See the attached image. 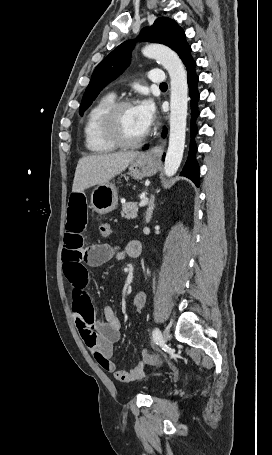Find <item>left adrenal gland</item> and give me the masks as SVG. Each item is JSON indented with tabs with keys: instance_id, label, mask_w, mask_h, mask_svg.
<instances>
[{
	"instance_id": "1",
	"label": "left adrenal gland",
	"mask_w": 272,
	"mask_h": 455,
	"mask_svg": "<svg viewBox=\"0 0 272 455\" xmlns=\"http://www.w3.org/2000/svg\"><path fill=\"white\" fill-rule=\"evenodd\" d=\"M154 208H155L154 196H151L149 203H148V208L146 211V223L150 222Z\"/></svg>"
}]
</instances>
